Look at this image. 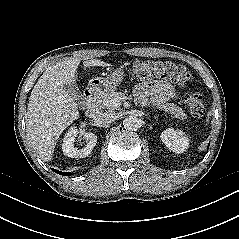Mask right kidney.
<instances>
[{
  "label": "right kidney",
  "instance_id": "right-kidney-1",
  "mask_svg": "<svg viewBox=\"0 0 239 239\" xmlns=\"http://www.w3.org/2000/svg\"><path fill=\"white\" fill-rule=\"evenodd\" d=\"M81 133L86 139V146L78 149L74 146L77 135ZM97 143V136L91 132H79L76 127H71L65 134L62 144V151L64 155L71 158H84L88 156Z\"/></svg>",
  "mask_w": 239,
  "mask_h": 239
}]
</instances>
